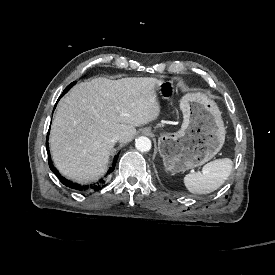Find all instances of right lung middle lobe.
Here are the masks:
<instances>
[{
  "mask_svg": "<svg viewBox=\"0 0 275 275\" xmlns=\"http://www.w3.org/2000/svg\"><path fill=\"white\" fill-rule=\"evenodd\" d=\"M75 83H76V81L73 82V83H71L70 85H68V86L66 87V89L64 90L63 94H65V93H66Z\"/></svg>",
  "mask_w": 275,
  "mask_h": 275,
  "instance_id": "1",
  "label": "right lung middle lobe"
}]
</instances>
